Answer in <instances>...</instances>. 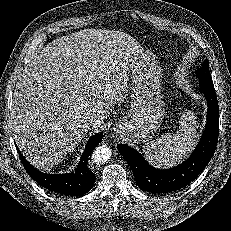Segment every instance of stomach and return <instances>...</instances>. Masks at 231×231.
<instances>
[{
  "instance_id": "1",
  "label": "stomach",
  "mask_w": 231,
  "mask_h": 231,
  "mask_svg": "<svg viewBox=\"0 0 231 231\" xmlns=\"http://www.w3.org/2000/svg\"><path fill=\"white\" fill-rule=\"evenodd\" d=\"M129 72L130 110L118 122L117 131L133 144H147L164 118L162 70L156 56L146 51L131 59Z\"/></svg>"
}]
</instances>
